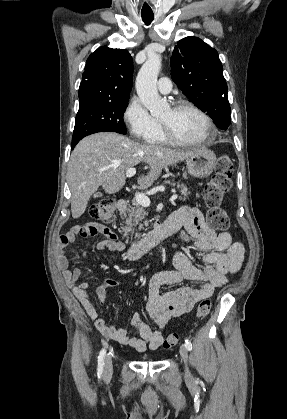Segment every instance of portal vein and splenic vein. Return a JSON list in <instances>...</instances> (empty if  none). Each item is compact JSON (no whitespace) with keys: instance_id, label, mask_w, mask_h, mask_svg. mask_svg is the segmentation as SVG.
<instances>
[{"instance_id":"1","label":"portal vein and splenic vein","mask_w":287,"mask_h":419,"mask_svg":"<svg viewBox=\"0 0 287 419\" xmlns=\"http://www.w3.org/2000/svg\"><path fill=\"white\" fill-rule=\"evenodd\" d=\"M135 174H136V169L135 168H129L126 171V177H128V178L133 177ZM177 197H178L177 194H173L170 197V201L176 200ZM135 199L143 207H149L150 206V199H149V197L147 195L143 194V193L137 192L135 194Z\"/></svg>"}]
</instances>
